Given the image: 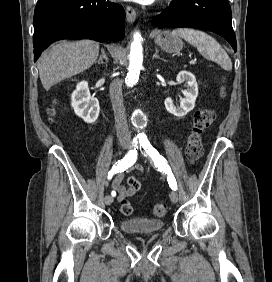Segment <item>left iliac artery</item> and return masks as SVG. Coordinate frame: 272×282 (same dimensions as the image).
<instances>
[{"mask_svg":"<svg viewBox=\"0 0 272 282\" xmlns=\"http://www.w3.org/2000/svg\"><path fill=\"white\" fill-rule=\"evenodd\" d=\"M140 146H142L143 150L151 157L154 165L160 170L161 172H165L167 174V181L169 183V186L172 190H177V182L176 179L171 171V168L169 167L168 163L162 157L158 151L153 148V146L150 144L147 138H143L140 140Z\"/></svg>","mask_w":272,"mask_h":282,"instance_id":"left-iliac-artery-1","label":"left iliac artery"}]
</instances>
